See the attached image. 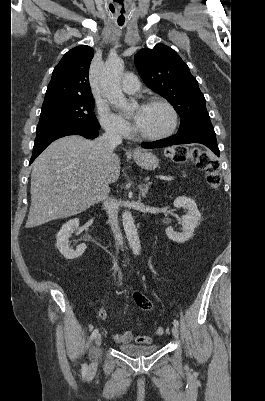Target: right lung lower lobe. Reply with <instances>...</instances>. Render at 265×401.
<instances>
[{"label": "right lung lower lobe", "mask_w": 265, "mask_h": 401, "mask_svg": "<svg viewBox=\"0 0 265 401\" xmlns=\"http://www.w3.org/2000/svg\"><path fill=\"white\" fill-rule=\"evenodd\" d=\"M34 141L33 154L30 160L31 164L34 159L54 140L67 135H81L87 139L96 138L99 133L98 129L77 127V126H56L44 129L36 133Z\"/></svg>", "instance_id": "1"}]
</instances>
